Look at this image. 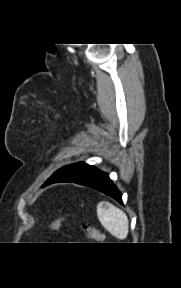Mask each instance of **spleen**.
<instances>
[{"label":"spleen","mask_w":181,"mask_h":288,"mask_svg":"<svg viewBox=\"0 0 181 288\" xmlns=\"http://www.w3.org/2000/svg\"><path fill=\"white\" fill-rule=\"evenodd\" d=\"M97 215L103 227L118 239H126L128 235V217L118 207L102 201L97 205Z\"/></svg>","instance_id":"obj_1"}]
</instances>
